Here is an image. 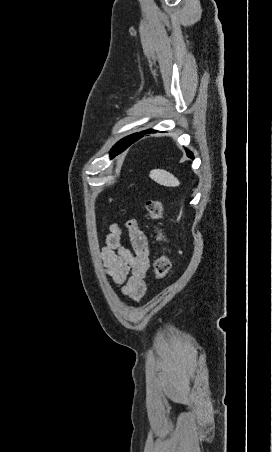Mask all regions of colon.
I'll list each match as a JSON object with an SVG mask.
<instances>
[{"label":"colon","mask_w":272,"mask_h":452,"mask_svg":"<svg viewBox=\"0 0 272 452\" xmlns=\"http://www.w3.org/2000/svg\"><path fill=\"white\" fill-rule=\"evenodd\" d=\"M146 209L149 217L153 221H159L163 217V206L159 200H149L146 203ZM156 238L159 242H165L166 236L160 228H156ZM171 259L169 251L162 249L154 263V273L157 281H162L169 273Z\"/></svg>","instance_id":"1"}]
</instances>
